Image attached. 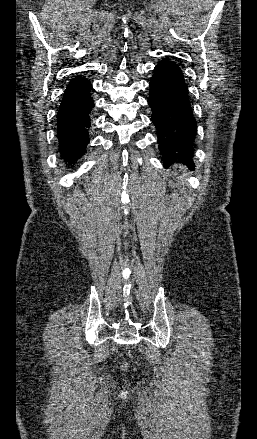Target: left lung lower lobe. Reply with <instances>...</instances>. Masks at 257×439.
Instances as JSON below:
<instances>
[{
  "label": "left lung lower lobe",
  "mask_w": 257,
  "mask_h": 439,
  "mask_svg": "<svg viewBox=\"0 0 257 439\" xmlns=\"http://www.w3.org/2000/svg\"><path fill=\"white\" fill-rule=\"evenodd\" d=\"M148 104L157 130L159 149L165 167L184 163L193 167L197 122L193 116L188 88L180 67L163 60L150 81Z\"/></svg>",
  "instance_id": "0a47b994"
}]
</instances>
